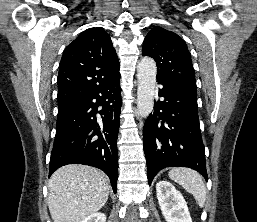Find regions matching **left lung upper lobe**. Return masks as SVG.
<instances>
[{"mask_svg": "<svg viewBox=\"0 0 257 222\" xmlns=\"http://www.w3.org/2000/svg\"><path fill=\"white\" fill-rule=\"evenodd\" d=\"M142 55L154 58L157 77L197 94L190 52L185 41L176 33L154 27L144 39Z\"/></svg>", "mask_w": 257, "mask_h": 222, "instance_id": "left-lung-upper-lobe-1", "label": "left lung upper lobe"}]
</instances>
